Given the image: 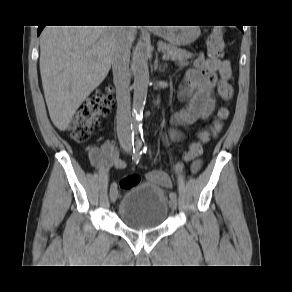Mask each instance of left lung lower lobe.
I'll use <instances>...</instances> for the list:
<instances>
[{"label":"left lung lower lobe","mask_w":292,"mask_h":292,"mask_svg":"<svg viewBox=\"0 0 292 292\" xmlns=\"http://www.w3.org/2000/svg\"><path fill=\"white\" fill-rule=\"evenodd\" d=\"M238 27H239V29H240V30H242V31H243V28H242V26H238Z\"/></svg>","instance_id":"1"}]
</instances>
